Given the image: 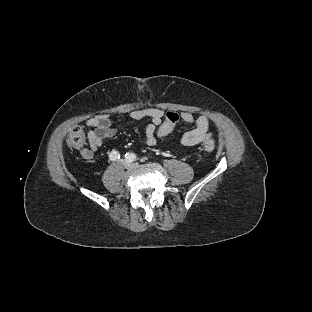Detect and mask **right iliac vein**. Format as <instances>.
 Segmentation results:
<instances>
[{
    "label": "right iliac vein",
    "instance_id": "63e3f726",
    "mask_svg": "<svg viewBox=\"0 0 312 312\" xmlns=\"http://www.w3.org/2000/svg\"><path fill=\"white\" fill-rule=\"evenodd\" d=\"M123 165H124L125 167H128V166H129V162L126 161V162L123 163Z\"/></svg>",
    "mask_w": 312,
    "mask_h": 312
}]
</instances>
